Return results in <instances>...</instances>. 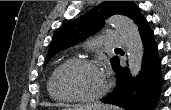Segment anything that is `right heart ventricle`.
<instances>
[{"label":"right heart ventricle","mask_w":171,"mask_h":110,"mask_svg":"<svg viewBox=\"0 0 171 110\" xmlns=\"http://www.w3.org/2000/svg\"><path fill=\"white\" fill-rule=\"evenodd\" d=\"M51 78H52V76L50 77V79L48 81V86H47L50 96L54 100L63 101L62 99H60L59 97H57L56 94L54 93L53 88H52Z\"/></svg>","instance_id":"right-heart-ventricle-1"}]
</instances>
